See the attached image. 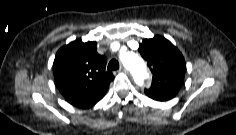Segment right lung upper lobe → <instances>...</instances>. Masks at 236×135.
Returning a JSON list of instances; mask_svg holds the SVG:
<instances>
[{"label": "right lung upper lobe", "instance_id": "right-lung-upper-lobe-1", "mask_svg": "<svg viewBox=\"0 0 236 135\" xmlns=\"http://www.w3.org/2000/svg\"><path fill=\"white\" fill-rule=\"evenodd\" d=\"M96 42L77 39L59 49L53 63L56 85L73 106L87 108L103 98L114 79Z\"/></svg>", "mask_w": 236, "mask_h": 135}]
</instances>
